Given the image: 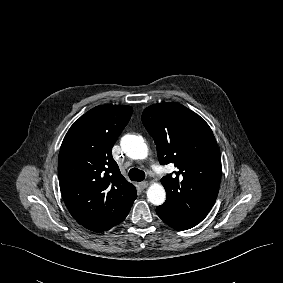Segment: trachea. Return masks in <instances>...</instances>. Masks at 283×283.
Masks as SVG:
<instances>
[{
	"instance_id": "obj_1",
	"label": "trachea",
	"mask_w": 283,
	"mask_h": 283,
	"mask_svg": "<svg viewBox=\"0 0 283 283\" xmlns=\"http://www.w3.org/2000/svg\"><path fill=\"white\" fill-rule=\"evenodd\" d=\"M129 178L132 180V181H143L145 179V173L144 171L142 170H139L137 168H132L130 171H129Z\"/></svg>"
}]
</instances>
